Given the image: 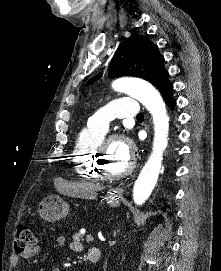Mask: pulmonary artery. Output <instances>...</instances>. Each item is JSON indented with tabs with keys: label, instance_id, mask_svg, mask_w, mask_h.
I'll list each match as a JSON object with an SVG mask.
<instances>
[{
	"label": "pulmonary artery",
	"instance_id": "obj_1",
	"mask_svg": "<svg viewBox=\"0 0 221 271\" xmlns=\"http://www.w3.org/2000/svg\"><path fill=\"white\" fill-rule=\"evenodd\" d=\"M137 103L134 98H115L109 107H101L96 117H91L87 127H109V122H119V117H138ZM98 133H108V128H80L79 138H98Z\"/></svg>",
	"mask_w": 221,
	"mask_h": 271
}]
</instances>
